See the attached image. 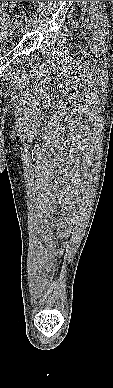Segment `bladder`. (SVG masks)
<instances>
[{
	"mask_svg": "<svg viewBox=\"0 0 113 388\" xmlns=\"http://www.w3.org/2000/svg\"><path fill=\"white\" fill-rule=\"evenodd\" d=\"M12 29L13 25L10 22H0V56L8 51V46L4 42V39L8 36Z\"/></svg>",
	"mask_w": 113,
	"mask_h": 388,
	"instance_id": "1",
	"label": "bladder"
}]
</instances>
